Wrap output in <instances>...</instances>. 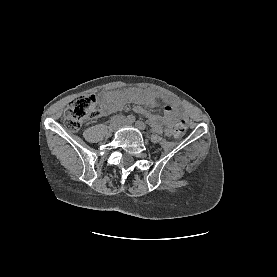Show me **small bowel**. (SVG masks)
Masks as SVG:
<instances>
[{"label": "small bowel", "instance_id": "small-bowel-1", "mask_svg": "<svg viewBox=\"0 0 277 277\" xmlns=\"http://www.w3.org/2000/svg\"><path fill=\"white\" fill-rule=\"evenodd\" d=\"M159 100L164 103L162 106V115L153 114L141 106H135L133 110L147 117L157 132H162L164 129L166 134L170 135L172 133L174 118L178 113L176 104L171 97L154 89H130L126 91L105 92L100 95L101 115L107 116L120 111L125 104L131 102H142L149 107H158Z\"/></svg>", "mask_w": 277, "mask_h": 277}]
</instances>
